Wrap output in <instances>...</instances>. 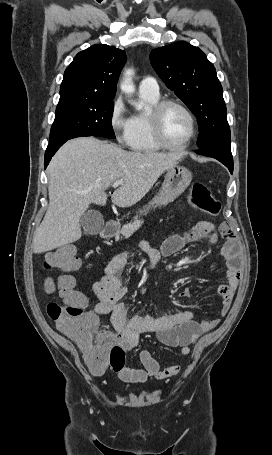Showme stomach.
<instances>
[{"label": "stomach", "mask_w": 272, "mask_h": 455, "mask_svg": "<svg viewBox=\"0 0 272 455\" xmlns=\"http://www.w3.org/2000/svg\"><path fill=\"white\" fill-rule=\"evenodd\" d=\"M191 179L192 174L187 168L178 165L169 168L158 195L155 196L145 209L164 206L172 202L190 185Z\"/></svg>", "instance_id": "1"}]
</instances>
